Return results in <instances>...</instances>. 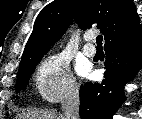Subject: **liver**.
<instances>
[{
  "instance_id": "6515ba94",
  "label": "liver",
  "mask_w": 142,
  "mask_h": 119,
  "mask_svg": "<svg viewBox=\"0 0 142 119\" xmlns=\"http://www.w3.org/2000/svg\"><path fill=\"white\" fill-rule=\"evenodd\" d=\"M23 118L27 119H64L63 115H58L51 111H44V110H34L29 111L28 113L22 116Z\"/></svg>"
}]
</instances>
